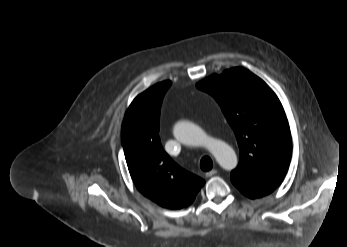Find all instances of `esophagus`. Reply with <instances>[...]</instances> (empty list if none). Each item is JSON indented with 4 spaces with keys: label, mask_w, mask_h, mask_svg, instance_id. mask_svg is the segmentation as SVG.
<instances>
[{
    "label": "esophagus",
    "mask_w": 347,
    "mask_h": 247,
    "mask_svg": "<svg viewBox=\"0 0 347 247\" xmlns=\"http://www.w3.org/2000/svg\"><path fill=\"white\" fill-rule=\"evenodd\" d=\"M215 174H217V170L216 169H212V170L206 172L205 175H206V177H211V176H213Z\"/></svg>",
    "instance_id": "esophagus-1"
}]
</instances>
